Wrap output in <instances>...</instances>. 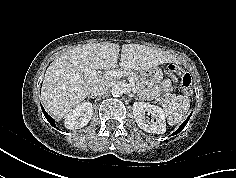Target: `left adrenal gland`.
<instances>
[{
  "label": "left adrenal gland",
  "instance_id": "left-adrenal-gland-1",
  "mask_svg": "<svg viewBox=\"0 0 236 178\" xmlns=\"http://www.w3.org/2000/svg\"><path fill=\"white\" fill-rule=\"evenodd\" d=\"M136 100H140L139 97L135 96L134 94L132 95Z\"/></svg>",
  "mask_w": 236,
  "mask_h": 178
}]
</instances>
